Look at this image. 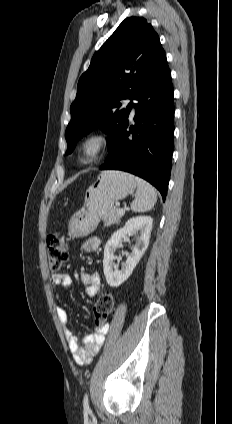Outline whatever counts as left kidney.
<instances>
[{"label": "left kidney", "mask_w": 232, "mask_h": 424, "mask_svg": "<svg viewBox=\"0 0 232 424\" xmlns=\"http://www.w3.org/2000/svg\"><path fill=\"white\" fill-rule=\"evenodd\" d=\"M152 224L153 219L150 216L130 218L108 240L104 248L103 271L109 286L118 287L130 277L149 245ZM136 232H139L137 243L132 248V253L128 255L121 269H118L114 263L116 259L114 253L123 238Z\"/></svg>", "instance_id": "left-kidney-1"}]
</instances>
